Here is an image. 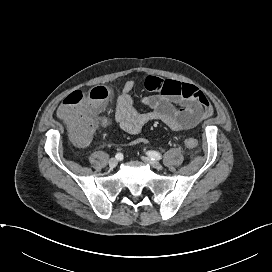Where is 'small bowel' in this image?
Segmentation results:
<instances>
[{
	"instance_id": "1",
	"label": "small bowel",
	"mask_w": 272,
	"mask_h": 272,
	"mask_svg": "<svg viewBox=\"0 0 272 272\" xmlns=\"http://www.w3.org/2000/svg\"><path fill=\"white\" fill-rule=\"evenodd\" d=\"M135 85L134 79L124 83L117 99L113 119H102L103 125L114 122L123 131L134 135L138 134L148 122L158 120L174 131L183 132L214 114L208 97L196 86L154 75L145 78L146 89L154 94L140 100V103L147 108L146 111H140L136 108L131 94ZM144 141L140 138L134 143L140 144Z\"/></svg>"
}]
</instances>
